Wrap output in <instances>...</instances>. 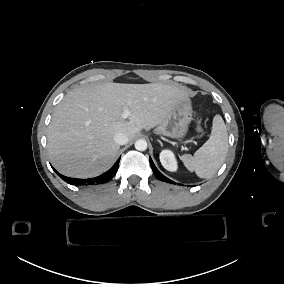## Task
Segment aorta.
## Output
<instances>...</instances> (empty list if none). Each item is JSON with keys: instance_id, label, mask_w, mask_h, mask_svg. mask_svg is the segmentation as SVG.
<instances>
[{"instance_id": "aorta-1", "label": "aorta", "mask_w": 284, "mask_h": 284, "mask_svg": "<svg viewBox=\"0 0 284 284\" xmlns=\"http://www.w3.org/2000/svg\"><path fill=\"white\" fill-rule=\"evenodd\" d=\"M135 148L139 151H145L147 149V142L144 139H139L135 142Z\"/></svg>"}]
</instances>
